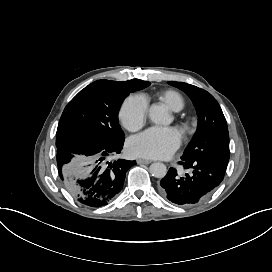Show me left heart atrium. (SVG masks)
I'll use <instances>...</instances> for the list:
<instances>
[{
  "instance_id": "39dd6f15",
  "label": "left heart atrium",
  "mask_w": 272,
  "mask_h": 272,
  "mask_svg": "<svg viewBox=\"0 0 272 272\" xmlns=\"http://www.w3.org/2000/svg\"><path fill=\"white\" fill-rule=\"evenodd\" d=\"M178 133L170 128L152 127L133 139L128 151L132 155L151 158H167L179 146Z\"/></svg>"
}]
</instances>
